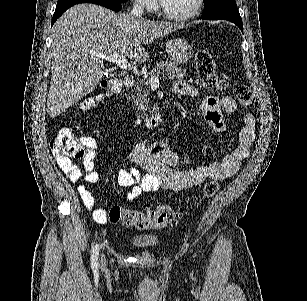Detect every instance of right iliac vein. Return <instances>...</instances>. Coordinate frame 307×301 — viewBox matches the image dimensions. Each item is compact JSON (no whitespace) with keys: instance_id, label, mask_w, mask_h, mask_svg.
I'll return each mask as SVG.
<instances>
[{"instance_id":"1","label":"right iliac vein","mask_w":307,"mask_h":301,"mask_svg":"<svg viewBox=\"0 0 307 301\" xmlns=\"http://www.w3.org/2000/svg\"><path fill=\"white\" fill-rule=\"evenodd\" d=\"M100 266L101 267H105L106 266V262H105V257L104 256H102Z\"/></svg>"}]
</instances>
